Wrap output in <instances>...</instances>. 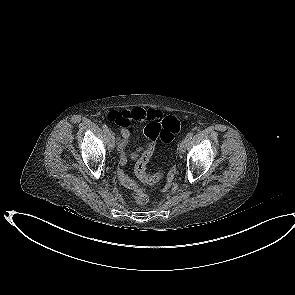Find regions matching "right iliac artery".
Segmentation results:
<instances>
[{
	"label": "right iliac artery",
	"instance_id": "right-iliac-artery-1",
	"mask_svg": "<svg viewBox=\"0 0 295 295\" xmlns=\"http://www.w3.org/2000/svg\"><path fill=\"white\" fill-rule=\"evenodd\" d=\"M102 128H103V131H104L106 134H109V129H108V127H107L106 124H103V125H102Z\"/></svg>",
	"mask_w": 295,
	"mask_h": 295
}]
</instances>
